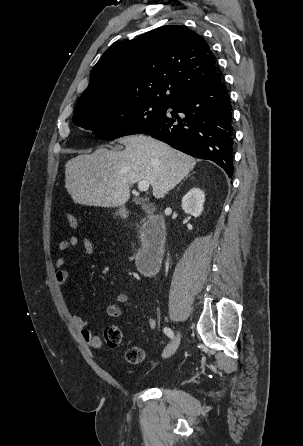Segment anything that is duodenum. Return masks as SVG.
Returning <instances> with one entry per match:
<instances>
[{
  "label": "duodenum",
  "mask_w": 303,
  "mask_h": 446,
  "mask_svg": "<svg viewBox=\"0 0 303 446\" xmlns=\"http://www.w3.org/2000/svg\"><path fill=\"white\" fill-rule=\"evenodd\" d=\"M143 241L136 255V266L145 275L154 274L160 266L165 244V223L158 214L142 220Z\"/></svg>",
  "instance_id": "1"
}]
</instances>
